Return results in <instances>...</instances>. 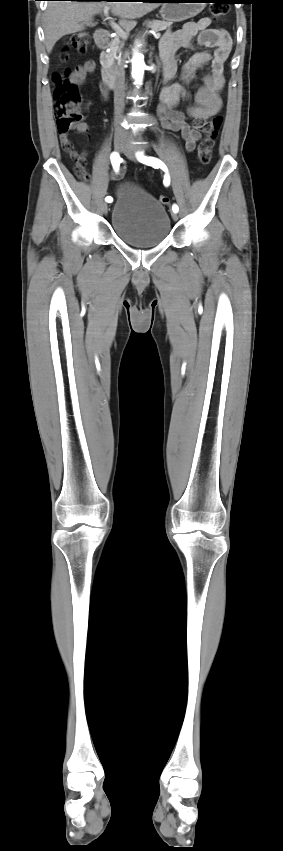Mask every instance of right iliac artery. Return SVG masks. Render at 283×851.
I'll return each instance as SVG.
<instances>
[{
    "mask_svg": "<svg viewBox=\"0 0 283 851\" xmlns=\"http://www.w3.org/2000/svg\"><path fill=\"white\" fill-rule=\"evenodd\" d=\"M110 158H111V163H112L113 169H114L116 172H118V171H119V166H120V163H121L122 159L120 158L119 154H118V153H116V152H113V153L111 154V157H110ZM105 200H106L107 202H109V203H110V202H112V200H113V199H112V197H111V196H107V197L105 198Z\"/></svg>",
    "mask_w": 283,
    "mask_h": 851,
    "instance_id": "82829eb1",
    "label": "right iliac artery"
}]
</instances>
